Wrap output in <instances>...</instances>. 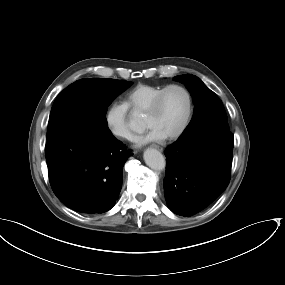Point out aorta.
Returning a JSON list of instances; mask_svg holds the SVG:
<instances>
[{
  "mask_svg": "<svg viewBox=\"0 0 285 285\" xmlns=\"http://www.w3.org/2000/svg\"><path fill=\"white\" fill-rule=\"evenodd\" d=\"M135 122V118H132L130 123L133 124ZM144 161L151 169L155 171H162L165 166V158L164 156L156 149L148 148L144 151L143 155Z\"/></svg>",
  "mask_w": 285,
  "mask_h": 285,
  "instance_id": "762f6f07",
  "label": "aorta"
}]
</instances>
